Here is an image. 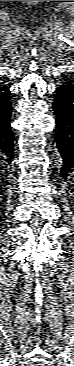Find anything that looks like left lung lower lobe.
<instances>
[{"instance_id":"0a47b994","label":"left lung lower lobe","mask_w":74,"mask_h":366,"mask_svg":"<svg viewBox=\"0 0 74 366\" xmlns=\"http://www.w3.org/2000/svg\"><path fill=\"white\" fill-rule=\"evenodd\" d=\"M56 142L62 159L63 179L74 174V78L65 80L54 92Z\"/></svg>"}]
</instances>
